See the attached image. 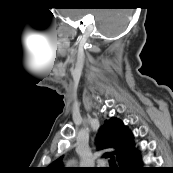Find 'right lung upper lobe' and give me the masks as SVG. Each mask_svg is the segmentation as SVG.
<instances>
[{
	"mask_svg": "<svg viewBox=\"0 0 173 173\" xmlns=\"http://www.w3.org/2000/svg\"><path fill=\"white\" fill-rule=\"evenodd\" d=\"M97 144L99 149L113 148L114 152L105 155L116 154V161L120 164L126 156L132 153L136 148L133 143V136L123 123L111 118L106 120L104 126L97 135ZM62 157L58 158L48 166L49 173H64L66 169L62 167Z\"/></svg>",
	"mask_w": 173,
	"mask_h": 173,
	"instance_id": "cb5924a9",
	"label": "right lung upper lobe"
}]
</instances>
